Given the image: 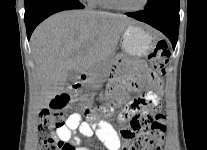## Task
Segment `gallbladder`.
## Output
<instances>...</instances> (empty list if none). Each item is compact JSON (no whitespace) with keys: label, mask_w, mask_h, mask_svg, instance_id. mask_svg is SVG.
<instances>
[{"label":"gallbladder","mask_w":207,"mask_h":150,"mask_svg":"<svg viewBox=\"0 0 207 150\" xmlns=\"http://www.w3.org/2000/svg\"><path fill=\"white\" fill-rule=\"evenodd\" d=\"M77 79V73L74 71H69L67 76L66 84H69Z\"/></svg>","instance_id":"gallbladder-1"}]
</instances>
